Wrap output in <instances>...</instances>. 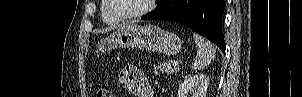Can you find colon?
Here are the masks:
<instances>
[{
	"label": "colon",
	"mask_w": 302,
	"mask_h": 97,
	"mask_svg": "<svg viewBox=\"0 0 302 97\" xmlns=\"http://www.w3.org/2000/svg\"><path fill=\"white\" fill-rule=\"evenodd\" d=\"M97 97H111V93L107 89H101L97 93Z\"/></svg>",
	"instance_id": "obj_1"
}]
</instances>
